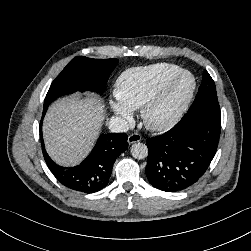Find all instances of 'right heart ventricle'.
<instances>
[{"label": "right heart ventricle", "instance_id": "1", "mask_svg": "<svg viewBox=\"0 0 251 251\" xmlns=\"http://www.w3.org/2000/svg\"><path fill=\"white\" fill-rule=\"evenodd\" d=\"M182 71L171 63L127 69L116 80L115 94L130 109H139L159 87Z\"/></svg>", "mask_w": 251, "mask_h": 251}]
</instances>
